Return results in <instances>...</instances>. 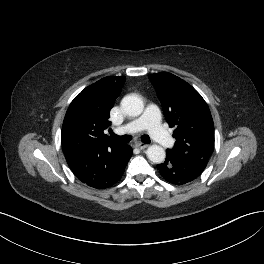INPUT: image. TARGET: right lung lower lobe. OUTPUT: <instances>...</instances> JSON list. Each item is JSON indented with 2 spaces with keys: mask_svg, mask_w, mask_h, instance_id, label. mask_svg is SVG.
<instances>
[{
  "mask_svg": "<svg viewBox=\"0 0 264 264\" xmlns=\"http://www.w3.org/2000/svg\"><path fill=\"white\" fill-rule=\"evenodd\" d=\"M132 156L128 145L66 156L75 176L84 184L105 189L120 180Z\"/></svg>",
  "mask_w": 264,
  "mask_h": 264,
  "instance_id": "98d812e1",
  "label": "right lung lower lobe"
}]
</instances>
